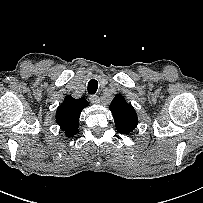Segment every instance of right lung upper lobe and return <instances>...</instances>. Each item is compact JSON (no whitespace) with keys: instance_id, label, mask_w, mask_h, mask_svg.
Returning a JSON list of instances; mask_svg holds the SVG:
<instances>
[{"instance_id":"right-lung-upper-lobe-1","label":"right lung upper lobe","mask_w":203,"mask_h":203,"mask_svg":"<svg viewBox=\"0 0 203 203\" xmlns=\"http://www.w3.org/2000/svg\"><path fill=\"white\" fill-rule=\"evenodd\" d=\"M89 103L84 98L75 99L67 95L56 111V122L67 137H72L78 132L81 111Z\"/></svg>"}]
</instances>
